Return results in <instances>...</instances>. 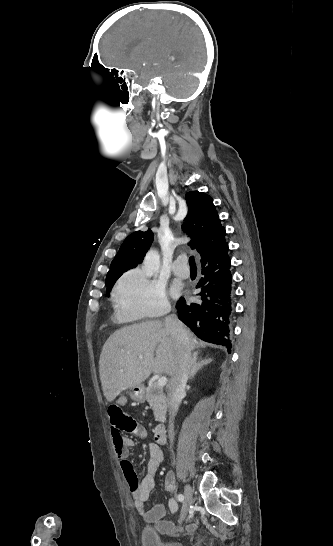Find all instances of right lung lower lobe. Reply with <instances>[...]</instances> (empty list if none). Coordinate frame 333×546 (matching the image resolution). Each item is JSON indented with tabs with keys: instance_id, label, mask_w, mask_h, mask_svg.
<instances>
[{
	"instance_id": "right-lung-lower-lobe-1",
	"label": "right lung lower lobe",
	"mask_w": 333,
	"mask_h": 546,
	"mask_svg": "<svg viewBox=\"0 0 333 546\" xmlns=\"http://www.w3.org/2000/svg\"><path fill=\"white\" fill-rule=\"evenodd\" d=\"M230 263L226 244L211 259L201 262L203 277L197 284L200 302L187 305L180 298L176 304L178 318L200 339L227 347L228 351L232 316Z\"/></svg>"
}]
</instances>
